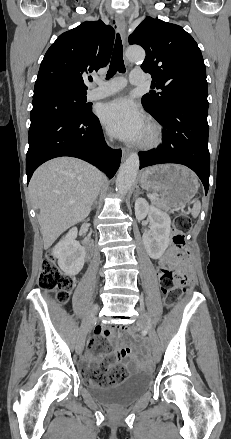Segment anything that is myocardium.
<instances>
[{
  "label": "myocardium",
  "mask_w": 231,
  "mask_h": 439,
  "mask_svg": "<svg viewBox=\"0 0 231 439\" xmlns=\"http://www.w3.org/2000/svg\"><path fill=\"white\" fill-rule=\"evenodd\" d=\"M162 139L163 131L161 126L156 122H150L139 146L143 149H151L157 147L162 142Z\"/></svg>",
  "instance_id": "1"
}]
</instances>
